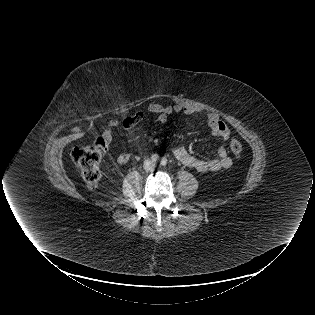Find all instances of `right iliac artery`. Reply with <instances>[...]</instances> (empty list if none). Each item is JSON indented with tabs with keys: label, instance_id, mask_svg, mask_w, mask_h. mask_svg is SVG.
I'll return each mask as SVG.
<instances>
[{
	"label": "right iliac artery",
	"instance_id": "right-iliac-artery-1",
	"mask_svg": "<svg viewBox=\"0 0 315 315\" xmlns=\"http://www.w3.org/2000/svg\"><path fill=\"white\" fill-rule=\"evenodd\" d=\"M151 159H152L153 162H156V161L159 160V157L157 155H152Z\"/></svg>",
	"mask_w": 315,
	"mask_h": 315
}]
</instances>
